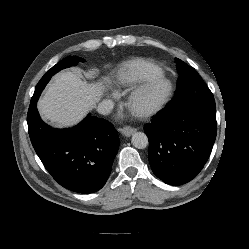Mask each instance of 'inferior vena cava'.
Returning <instances> with one entry per match:
<instances>
[{
    "mask_svg": "<svg viewBox=\"0 0 249 249\" xmlns=\"http://www.w3.org/2000/svg\"><path fill=\"white\" fill-rule=\"evenodd\" d=\"M113 107H114V104H113L112 101H110V100H103L102 102H100L98 104L97 111L100 114L107 115V114H109L112 111Z\"/></svg>",
    "mask_w": 249,
    "mask_h": 249,
    "instance_id": "obj_1",
    "label": "inferior vena cava"
}]
</instances>
